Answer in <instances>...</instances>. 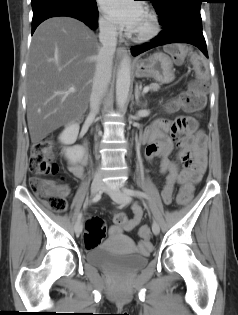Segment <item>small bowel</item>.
<instances>
[{"label":"small bowel","instance_id":"small-bowel-1","mask_svg":"<svg viewBox=\"0 0 238 315\" xmlns=\"http://www.w3.org/2000/svg\"><path fill=\"white\" fill-rule=\"evenodd\" d=\"M174 135L178 133L181 137L176 139V146L179 148V158L184 168L179 169L177 163L169 158L173 143L168 136V131ZM142 141L147 144L145 156L148 161L158 160L160 172L166 175V181L162 189V198L165 203H171L173 190L176 185L181 186V190L187 188L193 190L206 168L207 164V137L206 134L198 128V124L193 118H180L171 125L167 122H156L149 126L143 133ZM192 156V161L190 159ZM88 155L86 149L77 164H72L69 171L76 178H82L84 166L87 164ZM63 196L69 194V188L62 186L58 189ZM132 218L128 219L123 226L114 225L110 228L112 234H118L122 231H131L137 227L143 218V209L139 204L132 206ZM152 244L148 238L143 239L138 244L139 252H149Z\"/></svg>","mask_w":238,"mask_h":315}]
</instances>
